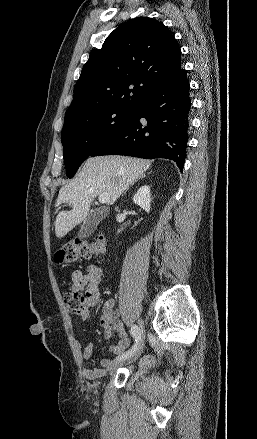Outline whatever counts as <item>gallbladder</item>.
<instances>
[{
	"label": "gallbladder",
	"mask_w": 257,
	"mask_h": 439,
	"mask_svg": "<svg viewBox=\"0 0 257 439\" xmlns=\"http://www.w3.org/2000/svg\"><path fill=\"white\" fill-rule=\"evenodd\" d=\"M101 220V216L96 211H91L87 216L85 221L83 222L81 229L78 233L79 237H88L97 227L99 221Z\"/></svg>",
	"instance_id": "obj_1"
}]
</instances>
